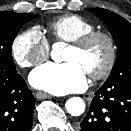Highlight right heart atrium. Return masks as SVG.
I'll return each instance as SVG.
<instances>
[{
  "label": "right heart atrium",
  "instance_id": "right-heart-atrium-1",
  "mask_svg": "<svg viewBox=\"0 0 131 131\" xmlns=\"http://www.w3.org/2000/svg\"><path fill=\"white\" fill-rule=\"evenodd\" d=\"M11 52L21 68H30L48 58L50 44L38 27H32L14 38Z\"/></svg>",
  "mask_w": 131,
  "mask_h": 131
}]
</instances>
